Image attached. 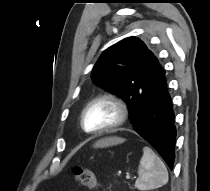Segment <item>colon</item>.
<instances>
[{"label":"colon","instance_id":"5ec220e1","mask_svg":"<svg viewBox=\"0 0 210 191\" xmlns=\"http://www.w3.org/2000/svg\"><path fill=\"white\" fill-rule=\"evenodd\" d=\"M73 175L78 183L88 188H96L98 186L97 178L93 171L80 166H75L72 170Z\"/></svg>","mask_w":210,"mask_h":191}]
</instances>
